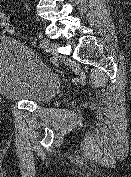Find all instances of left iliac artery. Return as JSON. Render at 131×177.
<instances>
[{
  "mask_svg": "<svg viewBox=\"0 0 131 177\" xmlns=\"http://www.w3.org/2000/svg\"><path fill=\"white\" fill-rule=\"evenodd\" d=\"M48 44H49V41L47 39H42L39 45L41 48L46 49L47 51Z\"/></svg>",
  "mask_w": 131,
  "mask_h": 177,
  "instance_id": "left-iliac-artery-1",
  "label": "left iliac artery"
}]
</instances>
